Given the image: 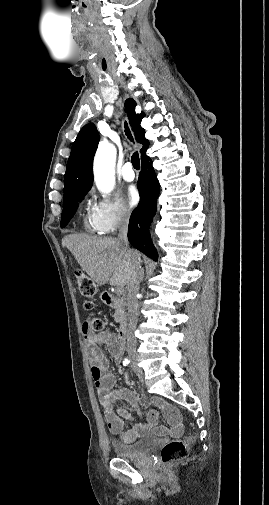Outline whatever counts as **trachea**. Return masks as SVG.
<instances>
[{
  "label": "trachea",
  "mask_w": 269,
  "mask_h": 505,
  "mask_svg": "<svg viewBox=\"0 0 269 505\" xmlns=\"http://www.w3.org/2000/svg\"><path fill=\"white\" fill-rule=\"evenodd\" d=\"M125 133H126L128 139L130 141L134 142L132 134L130 132V129L127 125V122H125ZM131 162H132V165L135 169H140V159H139V154L137 151L132 155Z\"/></svg>",
  "instance_id": "obj_1"
}]
</instances>
